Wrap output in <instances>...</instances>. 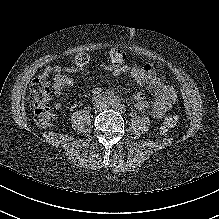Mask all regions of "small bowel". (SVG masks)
I'll use <instances>...</instances> for the list:
<instances>
[{
    "instance_id": "c3829d8e",
    "label": "small bowel",
    "mask_w": 219,
    "mask_h": 219,
    "mask_svg": "<svg viewBox=\"0 0 219 219\" xmlns=\"http://www.w3.org/2000/svg\"><path fill=\"white\" fill-rule=\"evenodd\" d=\"M109 56L112 65L107 66V70L115 76L129 74L137 84L145 85L153 97V102L150 104L146 100L145 95L138 92L131 98L133 106L141 111L150 110L152 116L156 119L162 118L176 100V91L174 87L166 81L164 76L156 72L152 64L148 63L142 66L128 65L127 55L120 49H112ZM76 65L77 67L73 68V70L80 71L85 64L76 62ZM52 68L54 71L58 72L53 84L54 94L57 98H62L64 90L71 87L74 82L71 77L62 73L60 67L54 66ZM94 94L100 96L103 94V90L101 88H96ZM56 107L59 109L61 106L58 103Z\"/></svg>"
}]
</instances>
